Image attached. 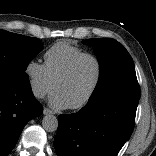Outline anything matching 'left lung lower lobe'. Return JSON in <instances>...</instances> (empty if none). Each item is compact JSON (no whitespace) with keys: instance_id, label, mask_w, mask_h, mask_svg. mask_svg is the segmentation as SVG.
<instances>
[{"instance_id":"0a47b994","label":"left lung lower lobe","mask_w":156,"mask_h":156,"mask_svg":"<svg viewBox=\"0 0 156 156\" xmlns=\"http://www.w3.org/2000/svg\"><path fill=\"white\" fill-rule=\"evenodd\" d=\"M139 98L112 94L61 114L54 148L58 156H116L134 129Z\"/></svg>"}]
</instances>
